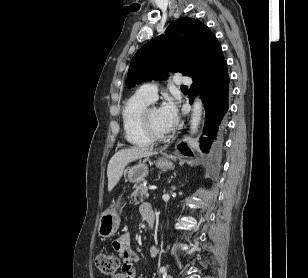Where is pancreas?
<instances>
[{
  "instance_id": "1",
  "label": "pancreas",
  "mask_w": 308,
  "mask_h": 278,
  "mask_svg": "<svg viewBox=\"0 0 308 278\" xmlns=\"http://www.w3.org/2000/svg\"><path fill=\"white\" fill-rule=\"evenodd\" d=\"M148 189L146 186H143L140 184L139 186L136 187V190L133 191L131 194V199L132 201L130 203H134L137 205L139 201L137 200V197H140V200L142 201L144 198L148 197Z\"/></svg>"
}]
</instances>
